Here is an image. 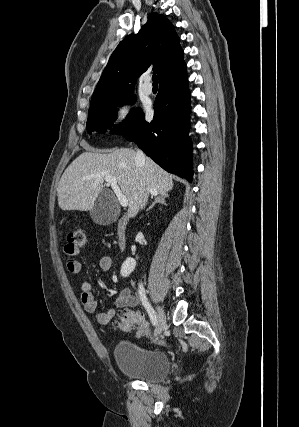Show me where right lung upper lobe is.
<instances>
[{
    "mask_svg": "<svg viewBox=\"0 0 299 427\" xmlns=\"http://www.w3.org/2000/svg\"><path fill=\"white\" fill-rule=\"evenodd\" d=\"M183 53L170 21L152 13L138 34L127 36L114 50L91 102L133 91L136 78L151 64L159 82L185 70Z\"/></svg>",
    "mask_w": 299,
    "mask_h": 427,
    "instance_id": "obj_1",
    "label": "right lung upper lobe"
}]
</instances>
